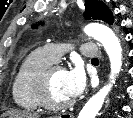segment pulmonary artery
I'll return each mask as SVG.
<instances>
[{
  "instance_id": "e3ab8cb5",
  "label": "pulmonary artery",
  "mask_w": 133,
  "mask_h": 118,
  "mask_svg": "<svg viewBox=\"0 0 133 118\" xmlns=\"http://www.w3.org/2000/svg\"><path fill=\"white\" fill-rule=\"evenodd\" d=\"M69 48V44H47L43 47V50L53 61H58L61 55L64 54ZM79 50L86 58L93 59L99 54L97 46L93 43H82Z\"/></svg>"
}]
</instances>
